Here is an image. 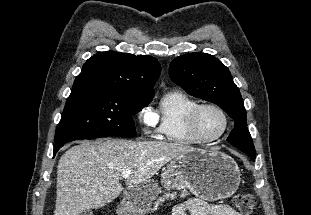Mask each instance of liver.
<instances>
[{
	"instance_id": "6515ba94",
	"label": "liver",
	"mask_w": 311,
	"mask_h": 215,
	"mask_svg": "<svg viewBox=\"0 0 311 215\" xmlns=\"http://www.w3.org/2000/svg\"><path fill=\"white\" fill-rule=\"evenodd\" d=\"M193 150L172 142L108 139L82 142L58 162L54 215H80L116 199L123 191L121 174L130 170L127 189L149 181L165 164Z\"/></svg>"
}]
</instances>
